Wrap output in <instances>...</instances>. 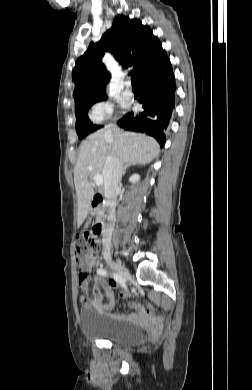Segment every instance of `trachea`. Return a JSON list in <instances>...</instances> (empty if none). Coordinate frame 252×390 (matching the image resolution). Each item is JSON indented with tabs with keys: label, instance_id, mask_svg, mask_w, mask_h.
Masks as SVG:
<instances>
[{
	"label": "trachea",
	"instance_id": "obj_1",
	"mask_svg": "<svg viewBox=\"0 0 252 390\" xmlns=\"http://www.w3.org/2000/svg\"><path fill=\"white\" fill-rule=\"evenodd\" d=\"M131 82H132V87L137 88V83L134 76L131 78Z\"/></svg>",
	"mask_w": 252,
	"mask_h": 390
}]
</instances>
